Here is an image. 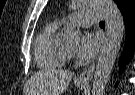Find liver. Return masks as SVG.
Here are the masks:
<instances>
[{"mask_svg": "<svg viewBox=\"0 0 135 95\" xmlns=\"http://www.w3.org/2000/svg\"><path fill=\"white\" fill-rule=\"evenodd\" d=\"M73 75L74 73L71 71L59 69L37 72L26 82L24 92L26 95H61L66 90Z\"/></svg>", "mask_w": 135, "mask_h": 95, "instance_id": "6515ba94", "label": "liver"}]
</instances>
